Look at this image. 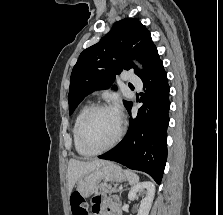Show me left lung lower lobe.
I'll use <instances>...</instances> for the list:
<instances>
[{
    "mask_svg": "<svg viewBox=\"0 0 223 215\" xmlns=\"http://www.w3.org/2000/svg\"><path fill=\"white\" fill-rule=\"evenodd\" d=\"M141 79L146 89L142 94L143 106L136 118H130L129 129L123 140L98 157L146 172L160 184L167 159L166 130L170 108V89L162 61ZM131 106L132 103L127 107L129 114Z\"/></svg>",
    "mask_w": 223,
    "mask_h": 215,
    "instance_id": "obj_1",
    "label": "left lung lower lobe"
}]
</instances>
